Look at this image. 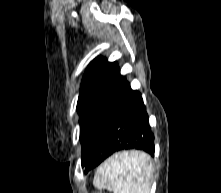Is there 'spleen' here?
<instances>
[{
  "label": "spleen",
  "mask_w": 221,
  "mask_h": 193,
  "mask_svg": "<svg viewBox=\"0 0 221 193\" xmlns=\"http://www.w3.org/2000/svg\"><path fill=\"white\" fill-rule=\"evenodd\" d=\"M152 169L148 154L123 151L97 168L93 184L99 190L113 193H149Z\"/></svg>",
  "instance_id": "3e777b00"
}]
</instances>
